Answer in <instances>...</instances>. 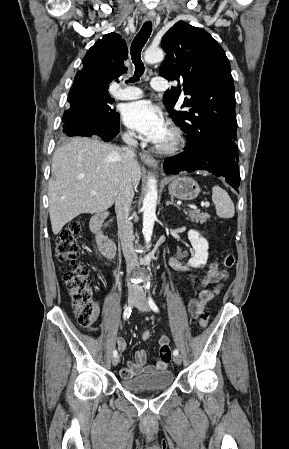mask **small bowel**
<instances>
[{
    "mask_svg": "<svg viewBox=\"0 0 289 449\" xmlns=\"http://www.w3.org/2000/svg\"><path fill=\"white\" fill-rule=\"evenodd\" d=\"M170 265L176 271L184 272L189 270V267L186 264L181 263L175 258L170 260ZM227 277L228 275L221 272L215 262H212L209 265L205 276L200 281L203 289H201L198 295L192 298L188 304V309L192 317L197 318L200 314H202L208 303L219 292L222 283L227 279ZM209 284H216V286L213 289L204 288ZM117 346L119 350L124 351L127 345L123 338L118 337ZM158 346L160 358L156 360L154 364H147V353L144 350H139L136 352L134 360H129L127 362V366L120 370V376L127 379L143 372L150 373L153 371L167 369L172 357L169 338L166 335H161L158 339Z\"/></svg>",
    "mask_w": 289,
    "mask_h": 449,
    "instance_id": "1",
    "label": "small bowel"
}]
</instances>
